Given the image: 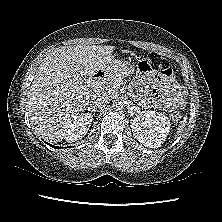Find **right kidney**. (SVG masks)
<instances>
[{"instance_id":"right-kidney-1","label":"right kidney","mask_w":222,"mask_h":222,"mask_svg":"<svg viewBox=\"0 0 222 222\" xmlns=\"http://www.w3.org/2000/svg\"><path fill=\"white\" fill-rule=\"evenodd\" d=\"M93 116L90 113H84L75 116L64 130V139L67 142H75L83 138L89 130Z\"/></svg>"}]
</instances>
